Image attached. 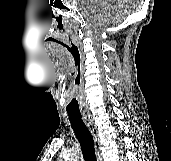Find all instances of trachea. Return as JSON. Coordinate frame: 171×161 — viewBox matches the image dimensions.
I'll use <instances>...</instances> for the list:
<instances>
[{"label":"trachea","mask_w":171,"mask_h":161,"mask_svg":"<svg viewBox=\"0 0 171 161\" xmlns=\"http://www.w3.org/2000/svg\"><path fill=\"white\" fill-rule=\"evenodd\" d=\"M68 116L74 133L80 142L85 160L97 161L93 136L86 124L83 122L80 112H68Z\"/></svg>","instance_id":"3493384b"}]
</instances>
